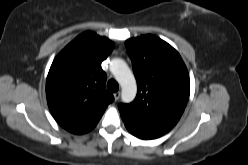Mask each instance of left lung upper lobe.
<instances>
[{
    "label": "left lung upper lobe",
    "mask_w": 248,
    "mask_h": 165,
    "mask_svg": "<svg viewBox=\"0 0 248 165\" xmlns=\"http://www.w3.org/2000/svg\"><path fill=\"white\" fill-rule=\"evenodd\" d=\"M137 80V96L120 113L164 132L179 121L189 98L190 79L179 53L154 35L125 42Z\"/></svg>",
    "instance_id": "5c2ea615"
}]
</instances>
